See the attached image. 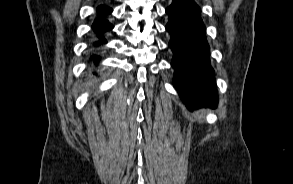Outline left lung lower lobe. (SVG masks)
<instances>
[{
	"label": "left lung lower lobe",
	"instance_id": "left-lung-lower-lobe-1",
	"mask_svg": "<svg viewBox=\"0 0 293 184\" xmlns=\"http://www.w3.org/2000/svg\"><path fill=\"white\" fill-rule=\"evenodd\" d=\"M173 51V85L190 109L215 107L218 102L214 72L209 60V45L201 10L194 0H173L166 8Z\"/></svg>",
	"mask_w": 293,
	"mask_h": 184
}]
</instances>
